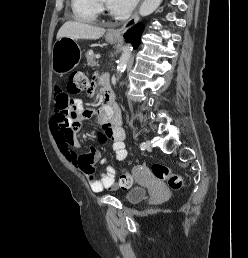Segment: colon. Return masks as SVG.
<instances>
[{"label":"colon","mask_w":248,"mask_h":258,"mask_svg":"<svg viewBox=\"0 0 248 258\" xmlns=\"http://www.w3.org/2000/svg\"><path fill=\"white\" fill-rule=\"evenodd\" d=\"M88 87V78L84 73L74 72L71 75L69 81V93L71 95L82 94L88 90ZM150 170L155 179L166 182L172 190L178 191L184 187L182 177L173 172L172 169L167 165H164L162 163H154L151 165ZM120 184L124 188H130L133 184L132 175L128 172H122L120 176Z\"/></svg>","instance_id":"5ec220e1"}]
</instances>
